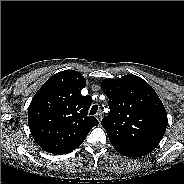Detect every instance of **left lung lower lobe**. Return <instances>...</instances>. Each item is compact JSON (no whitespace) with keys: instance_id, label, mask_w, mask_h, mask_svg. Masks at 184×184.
I'll return each mask as SVG.
<instances>
[{"instance_id":"obj_1","label":"left lung lower lobe","mask_w":184,"mask_h":184,"mask_svg":"<svg viewBox=\"0 0 184 184\" xmlns=\"http://www.w3.org/2000/svg\"><path fill=\"white\" fill-rule=\"evenodd\" d=\"M112 145L114 146V148L119 152L121 153L122 155L124 156H127V157H141V156H144L146 155L145 153H142L138 150H135V149H132V148H129V147H126L122 144H118V143H113L111 142Z\"/></svg>"}]
</instances>
